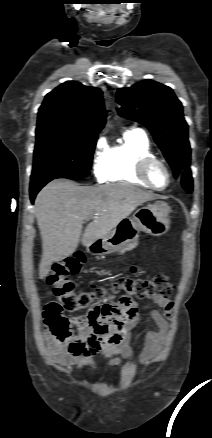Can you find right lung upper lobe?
<instances>
[{"instance_id": "obj_1", "label": "right lung upper lobe", "mask_w": 212, "mask_h": 438, "mask_svg": "<svg viewBox=\"0 0 212 438\" xmlns=\"http://www.w3.org/2000/svg\"><path fill=\"white\" fill-rule=\"evenodd\" d=\"M105 119L102 91L68 81L46 95L39 108L36 132L61 130L98 134Z\"/></svg>"}]
</instances>
